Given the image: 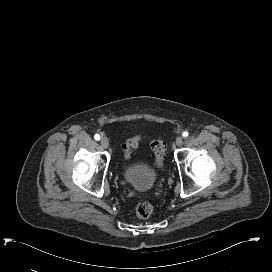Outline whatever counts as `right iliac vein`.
<instances>
[{"instance_id":"1","label":"right iliac vein","mask_w":272,"mask_h":272,"mask_svg":"<svg viewBox=\"0 0 272 272\" xmlns=\"http://www.w3.org/2000/svg\"><path fill=\"white\" fill-rule=\"evenodd\" d=\"M100 145L103 147V148H108L109 147V141L107 138H102L100 140Z\"/></svg>"}]
</instances>
